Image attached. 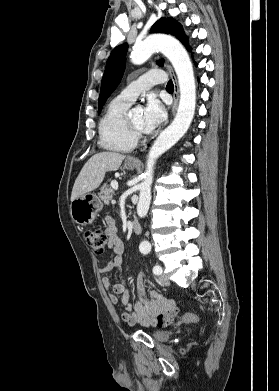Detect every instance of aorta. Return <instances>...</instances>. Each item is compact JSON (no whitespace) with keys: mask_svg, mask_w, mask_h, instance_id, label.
Listing matches in <instances>:
<instances>
[{"mask_svg":"<svg viewBox=\"0 0 279 391\" xmlns=\"http://www.w3.org/2000/svg\"><path fill=\"white\" fill-rule=\"evenodd\" d=\"M157 50L169 59L175 69L180 89V101L173 122L160 133L149 150L137 204L139 217H145L149 210L156 160L187 132L193 120L196 105L193 66L187 51L178 40L165 35L149 36L133 46L130 55L131 61L136 65L142 64ZM139 249L147 252L150 251L151 245L148 241H143Z\"/></svg>","mask_w":279,"mask_h":391,"instance_id":"1","label":"aorta"}]
</instances>
